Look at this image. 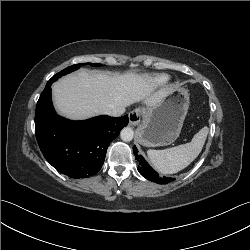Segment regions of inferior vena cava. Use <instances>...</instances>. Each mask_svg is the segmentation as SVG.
Returning <instances> with one entry per match:
<instances>
[{"mask_svg":"<svg viewBox=\"0 0 250 250\" xmlns=\"http://www.w3.org/2000/svg\"><path fill=\"white\" fill-rule=\"evenodd\" d=\"M106 114L113 116V117H118V116H121L123 114V111L120 109H114V110L108 111Z\"/></svg>","mask_w":250,"mask_h":250,"instance_id":"inferior-vena-cava-1","label":"inferior vena cava"}]
</instances>
